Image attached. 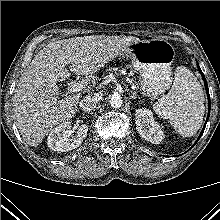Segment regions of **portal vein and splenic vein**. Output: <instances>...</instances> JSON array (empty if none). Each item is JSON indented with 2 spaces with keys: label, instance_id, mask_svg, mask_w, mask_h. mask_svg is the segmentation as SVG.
<instances>
[{
  "label": "portal vein and splenic vein",
  "instance_id": "1",
  "mask_svg": "<svg viewBox=\"0 0 220 220\" xmlns=\"http://www.w3.org/2000/svg\"><path fill=\"white\" fill-rule=\"evenodd\" d=\"M86 86L84 84V82H80V83H71V85L68 88V93H73V92H80L85 90Z\"/></svg>",
  "mask_w": 220,
  "mask_h": 220
}]
</instances>
